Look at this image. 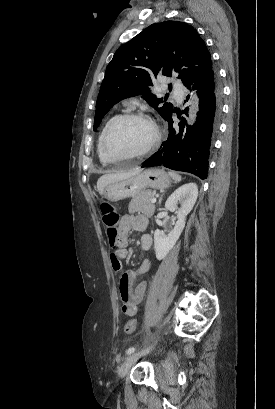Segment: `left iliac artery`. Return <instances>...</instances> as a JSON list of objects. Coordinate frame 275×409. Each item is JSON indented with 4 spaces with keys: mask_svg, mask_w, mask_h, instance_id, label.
I'll use <instances>...</instances> for the list:
<instances>
[{
    "mask_svg": "<svg viewBox=\"0 0 275 409\" xmlns=\"http://www.w3.org/2000/svg\"><path fill=\"white\" fill-rule=\"evenodd\" d=\"M135 350H136V348L130 347V348L126 351V354H127V355H130V354L133 353Z\"/></svg>",
    "mask_w": 275,
    "mask_h": 409,
    "instance_id": "44dca946",
    "label": "left iliac artery"
}]
</instances>
